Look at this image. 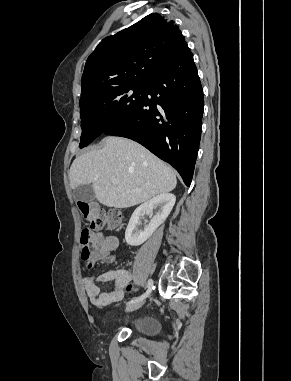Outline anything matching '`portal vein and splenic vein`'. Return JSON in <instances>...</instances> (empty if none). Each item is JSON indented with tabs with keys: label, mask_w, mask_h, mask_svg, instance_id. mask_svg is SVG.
<instances>
[{
	"label": "portal vein and splenic vein",
	"mask_w": 291,
	"mask_h": 381,
	"mask_svg": "<svg viewBox=\"0 0 291 381\" xmlns=\"http://www.w3.org/2000/svg\"><path fill=\"white\" fill-rule=\"evenodd\" d=\"M111 180H112L113 184L117 183V181L114 178H112Z\"/></svg>",
	"instance_id": "portal-vein-and-splenic-vein-1"
}]
</instances>
